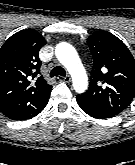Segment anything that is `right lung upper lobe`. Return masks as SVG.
I'll return each instance as SVG.
<instances>
[{
  "label": "right lung upper lobe",
  "instance_id": "1",
  "mask_svg": "<svg viewBox=\"0 0 135 165\" xmlns=\"http://www.w3.org/2000/svg\"><path fill=\"white\" fill-rule=\"evenodd\" d=\"M43 36L25 29L13 34L0 48V111L35 107L49 99L52 86L40 73L38 53Z\"/></svg>",
  "mask_w": 135,
  "mask_h": 165
}]
</instances>
